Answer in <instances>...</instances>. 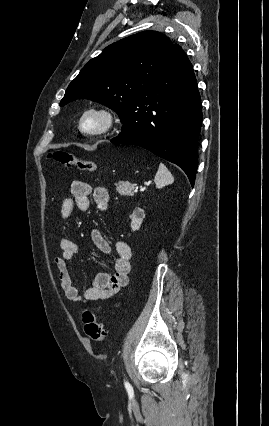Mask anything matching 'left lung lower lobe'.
<instances>
[{"label": "left lung lower lobe", "mask_w": 269, "mask_h": 426, "mask_svg": "<svg viewBox=\"0 0 269 426\" xmlns=\"http://www.w3.org/2000/svg\"><path fill=\"white\" fill-rule=\"evenodd\" d=\"M201 98L192 65L175 44L126 110L122 131L112 143L136 145L178 165L194 186Z\"/></svg>", "instance_id": "left-lung-lower-lobe-1"}]
</instances>
